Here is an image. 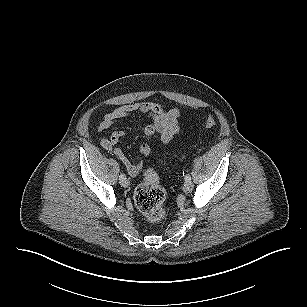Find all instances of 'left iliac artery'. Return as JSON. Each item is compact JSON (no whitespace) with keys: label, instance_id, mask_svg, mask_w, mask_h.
<instances>
[{"label":"left iliac artery","instance_id":"left-iliac-artery-1","mask_svg":"<svg viewBox=\"0 0 307 307\" xmlns=\"http://www.w3.org/2000/svg\"><path fill=\"white\" fill-rule=\"evenodd\" d=\"M185 180H191V176L190 175H186L185 176Z\"/></svg>","mask_w":307,"mask_h":307}]
</instances>
